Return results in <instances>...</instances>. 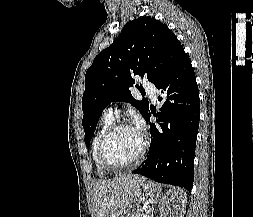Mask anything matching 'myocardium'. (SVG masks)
<instances>
[{
  "label": "myocardium",
  "instance_id": "f54148a6",
  "mask_svg": "<svg viewBox=\"0 0 253 217\" xmlns=\"http://www.w3.org/2000/svg\"><path fill=\"white\" fill-rule=\"evenodd\" d=\"M132 126L130 123L128 122H116L113 123L104 133V135L102 136L99 145H98V151H97V156H98V161L100 166L102 167L103 170H105L106 172L109 173H116V172H120L123 171L125 169H129L133 166H135L136 164H138L144 157L147 147H148V138L147 135L141 132V137H142V144H141V148L140 151L138 152V154L135 156V158L133 160H131L130 162L123 164V165H113L110 162L107 161L106 157H105V146L109 140V138L119 129L124 128V127H129Z\"/></svg>",
  "mask_w": 253,
  "mask_h": 217
}]
</instances>
